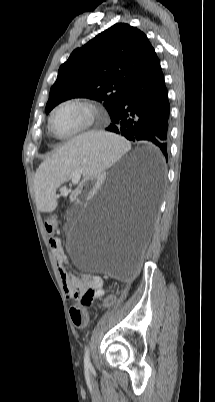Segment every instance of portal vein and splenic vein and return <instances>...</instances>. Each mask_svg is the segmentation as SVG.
Wrapping results in <instances>:
<instances>
[{"mask_svg":"<svg viewBox=\"0 0 215 402\" xmlns=\"http://www.w3.org/2000/svg\"><path fill=\"white\" fill-rule=\"evenodd\" d=\"M74 177H76L77 179L79 178V174L75 173Z\"/></svg>","mask_w":215,"mask_h":402,"instance_id":"portal-vein-and-splenic-vein-1","label":"portal vein and splenic vein"}]
</instances>
